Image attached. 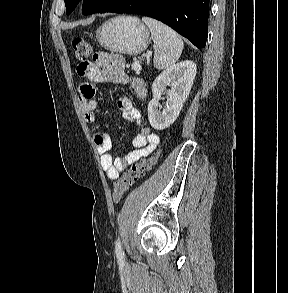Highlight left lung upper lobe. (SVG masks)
Returning a JSON list of instances; mask_svg holds the SVG:
<instances>
[{"label": "left lung upper lobe", "mask_w": 288, "mask_h": 293, "mask_svg": "<svg viewBox=\"0 0 288 293\" xmlns=\"http://www.w3.org/2000/svg\"><path fill=\"white\" fill-rule=\"evenodd\" d=\"M66 5V13L69 15L76 8L81 0H64ZM118 0H83V14L89 15L102 12L108 6Z\"/></svg>", "instance_id": "obj_1"}]
</instances>
